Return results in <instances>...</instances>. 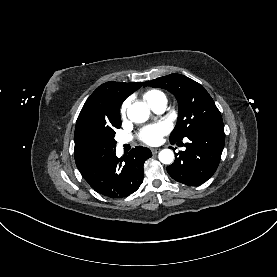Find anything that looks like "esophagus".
<instances>
[{
  "label": "esophagus",
  "mask_w": 277,
  "mask_h": 277,
  "mask_svg": "<svg viewBox=\"0 0 277 277\" xmlns=\"http://www.w3.org/2000/svg\"><path fill=\"white\" fill-rule=\"evenodd\" d=\"M151 151H152L153 154H157L160 151V149L159 148H152Z\"/></svg>",
  "instance_id": "esophagus-1"
}]
</instances>
